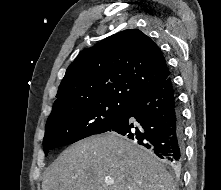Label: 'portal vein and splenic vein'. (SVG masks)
<instances>
[{
	"label": "portal vein and splenic vein",
	"mask_w": 221,
	"mask_h": 190,
	"mask_svg": "<svg viewBox=\"0 0 221 190\" xmlns=\"http://www.w3.org/2000/svg\"><path fill=\"white\" fill-rule=\"evenodd\" d=\"M106 183L107 184H113L114 183V179H112V178L106 179Z\"/></svg>",
	"instance_id": "obj_1"
}]
</instances>
